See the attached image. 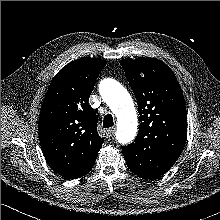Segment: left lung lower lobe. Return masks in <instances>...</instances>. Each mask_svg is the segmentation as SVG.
<instances>
[{
  "mask_svg": "<svg viewBox=\"0 0 220 220\" xmlns=\"http://www.w3.org/2000/svg\"><path fill=\"white\" fill-rule=\"evenodd\" d=\"M126 163H127V166L129 167V169L141 178L155 179V178L159 177L160 175H162L161 173H156L154 171L137 170V169L133 168V166L127 160H126Z\"/></svg>",
  "mask_w": 220,
  "mask_h": 220,
  "instance_id": "1",
  "label": "left lung lower lobe"
}]
</instances>
